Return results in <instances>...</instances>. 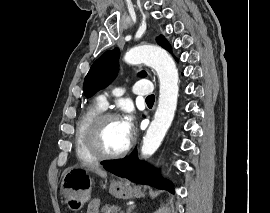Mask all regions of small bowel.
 <instances>
[{
	"label": "small bowel",
	"mask_w": 270,
	"mask_h": 213,
	"mask_svg": "<svg viewBox=\"0 0 270 213\" xmlns=\"http://www.w3.org/2000/svg\"><path fill=\"white\" fill-rule=\"evenodd\" d=\"M86 213H99V203L96 200H93L89 203Z\"/></svg>",
	"instance_id": "obj_1"
}]
</instances>
